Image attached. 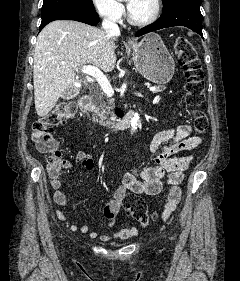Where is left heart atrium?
Listing matches in <instances>:
<instances>
[{
    "label": "left heart atrium",
    "instance_id": "left-heart-atrium-1",
    "mask_svg": "<svg viewBox=\"0 0 240 281\" xmlns=\"http://www.w3.org/2000/svg\"><path fill=\"white\" fill-rule=\"evenodd\" d=\"M128 1H129V2H128V7H129V6H130V1H131V0H128Z\"/></svg>",
    "mask_w": 240,
    "mask_h": 281
}]
</instances>
